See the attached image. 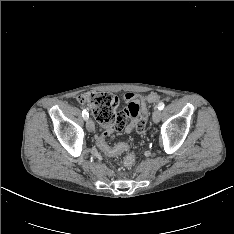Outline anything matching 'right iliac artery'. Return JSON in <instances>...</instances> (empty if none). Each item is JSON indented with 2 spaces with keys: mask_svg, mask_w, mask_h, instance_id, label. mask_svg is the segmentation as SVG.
I'll use <instances>...</instances> for the list:
<instances>
[{
  "mask_svg": "<svg viewBox=\"0 0 234 234\" xmlns=\"http://www.w3.org/2000/svg\"><path fill=\"white\" fill-rule=\"evenodd\" d=\"M82 116H83V118H84L85 120H87L88 117H89V114H88V112H87L86 110H83Z\"/></svg>",
  "mask_w": 234,
  "mask_h": 234,
  "instance_id": "1",
  "label": "right iliac artery"
}]
</instances>
